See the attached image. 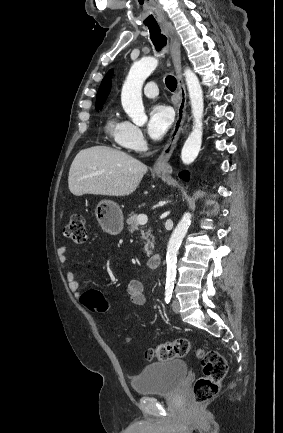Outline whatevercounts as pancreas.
<instances>
[{
	"label": "pancreas",
	"mask_w": 283,
	"mask_h": 433,
	"mask_svg": "<svg viewBox=\"0 0 283 433\" xmlns=\"http://www.w3.org/2000/svg\"><path fill=\"white\" fill-rule=\"evenodd\" d=\"M126 223L127 225H129L128 229L130 233H134V231H138L139 225L137 223V214H135V212H131V214H129V219H127ZM143 239H145L146 241V245L144 247L145 253H147V257H149V255H152V249H153L155 237H152L151 231H147Z\"/></svg>",
	"instance_id": "obj_1"
}]
</instances>
